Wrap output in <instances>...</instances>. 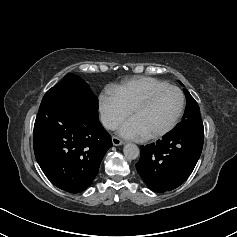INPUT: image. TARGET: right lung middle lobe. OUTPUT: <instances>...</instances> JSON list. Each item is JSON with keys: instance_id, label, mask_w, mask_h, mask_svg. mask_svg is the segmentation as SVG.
Wrapping results in <instances>:
<instances>
[{"instance_id": "dd1d6c3e", "label": "right lung middle lobe", "mask_w": 237, "mask_h": 237, "mask_svg": "<svg viewBox=\"0 0 237 237\" xmlns=\"http://www.w3.org/2000/svg\"><path fill=\"white\" fill-rule=\"evenodd\" d=\"M49 90L62 94L68 102L79 108L98 110V98L78 76L66 75L59 84Z\"/></svg>"}]
</instances>
